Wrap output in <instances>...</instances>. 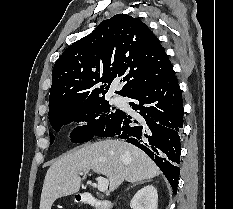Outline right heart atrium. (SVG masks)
I'll list each match as a JSON object with an SVG mask.
<instances>
[{"label": "right heart atrium", "instance_id": "right-heart-atrium-1", "mask_svg": "<svg viewBox=\"0 0 233 209\" xmlns=\"http://www.w3.org/2000/svg\"><path fill=\"white\" fill-rule=\"evenodd\" d=\"M85 124H86V121H85L84 119H79L78 122H77V125H78L79 127H82V126H84Z\"/></svg>", "mask_w": 233, "mask_h": 209}]
</instances>
